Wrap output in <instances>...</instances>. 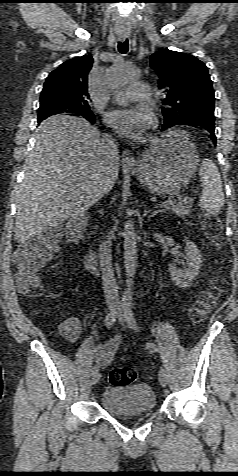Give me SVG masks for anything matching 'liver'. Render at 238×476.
Here are the masks:
<instances>
[{"label":"liver","instance_id":"obj_1","mask_svg":"<svg viewBox=\"0 0 238 476\" xmlns=\"http://www.w3.org/2000/svg\"><path fill=\"white\" fill-rule=\"evenodd\" d=\"M17 195L14 238L23 243L83 215L115 184L95 126L84 118L55 115L39 125Z\"/></svg>","mask_w":238,"mask_h":476}]
</instances>
